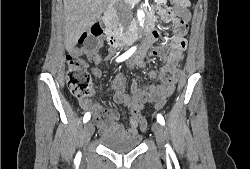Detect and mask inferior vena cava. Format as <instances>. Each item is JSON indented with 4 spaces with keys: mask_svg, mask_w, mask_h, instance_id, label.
Wrapping results in <instances>:
<instances>
[{
    "mask_svg": "<svg viewBox=\"0 0 250 169\" xmlns=\"http://www.w3.org/2000/svg\"><path fill=\"white\" fill-rule=\"evenodd\" d=\"M119 18L122 26H129L132 20V12L128 4H120L119 6Z\"/></svg>",
    "mask_w": 250,
    "mask_h": 169,
    "instance_id": "obj_1",
    "label": "inferior vena cava"
}]
</instances>
